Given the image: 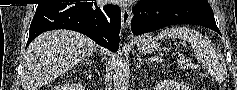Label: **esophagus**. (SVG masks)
<instances>
[{
	"label": "esophagus",
	"instance_id": "esophagus-1",
	"mask_svg": "<svg viewBox=\"0 0 237 90\" xmlns=\"http://www.w3.org/2000/svg\"><path fill=\"white\" fill-rule=\"evenodd\" d=\"M122 16H121V27L123 30H126L130 26L131 21V8L128 6H123L121 8Z\"/></svg>",
	"mask_w": 237,
	"mask_h": 90
}]
</instances>
